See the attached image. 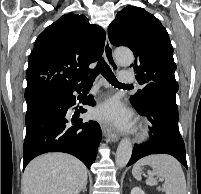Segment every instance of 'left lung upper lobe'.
<instances>
[{
  "mask_svg": "<svg viewBox=\"0 0 201 194\" xmlns=\"http://www.w3.org/2000/svg\"><path fill=\"white\" fill-rule=\"evenodd\" d=\"M112 45L126 46L135 56L136 79L143 89L131 96L135 108L143 107L154 97L176 100L178 83L174 72L173 47L160 21L143 8L127 6L117 13L108 27Z\"/></svg>",
  "mask_w": 201,
  "mask_h": 194,
  "instance_id": "5c2ea615",
  "label": "left lung upper lobe"
}]
</instances>
